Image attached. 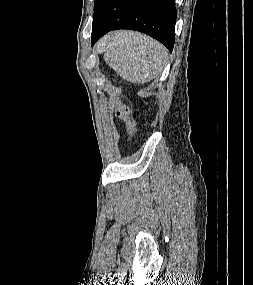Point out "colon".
I'll use <instances>...</instances> for the list:
<instances>
[{"mask_svg": "<svg viewBox=\"0 0 253 285\" xmlns=\"http://www.w3.org/2000/svg\"><path fill=\"white\" fill-rule=\"evenodd\" d=\"M114 108L116 115L125 122L129 134V140L132 141L136 133V125L130 117V108L122 102L120 91H118L115 96Z\"/></svg>", "mask_w": 253, "mask_h": 285, "instance_id": "5ec220e1", "label": "colon"}]
</instances>
